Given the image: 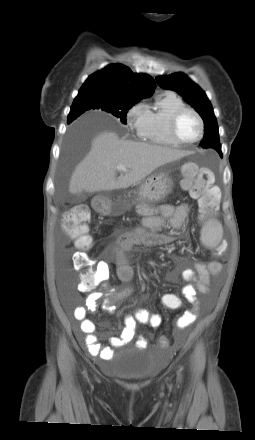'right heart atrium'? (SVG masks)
Instances as JSON below:
<instances>
[{"instance_id": "1", "label": "right heart atrium", "mask_w": 255, "mask_h": 440, "mask_svg": "<svg viewBox=\"0 0 255 440\" xmlns=\"http://www.w3.org/2000/svg\"><path fill=\"white\" fill-rule=\"evenodd\" d=\"M146 107L142 102L134 104L126 114V120L131 129L139 132L145 117Z\"/></svg>"}]
</instances>
